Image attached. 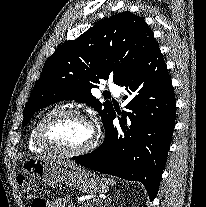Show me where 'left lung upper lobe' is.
Here are the masks:
<instances>
[{"instance_id":"obj_1","label":"left lung upper lobe","mask_w":206,"mask_h":207,"mask_svg":"<svg viewBox=\"0 0 206 207\" xmlns=\"http://www.w3.org/2000/svg\"><path fill=\"white\" fill-rule=\"evenodd\" d=\"M155 45L145 20L128 11L100 21L76 40L60 45L44 64L25 106L22 126L38 110L73 99L97 110L105 126L113 105L99 102L91 89L99 87L100 79L109 77L120 85Z\"/></svg>"}]
</instances>
